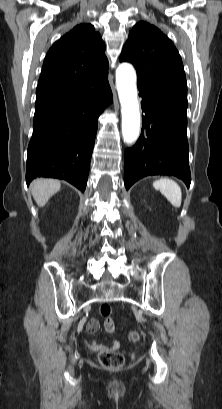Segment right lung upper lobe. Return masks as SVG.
Instances as JSON below:
<instances>
[{
  "label": "right lung upper lobe",
  "instance_id": "cb5924a9",
  "mask_svg": "<svg viewBox=\"0 0 222 409\" xmlns=\"http://www.w3.org/2000/svg\"><path fill=\"white\" fill-rule=\"evenodd\" d=\"M105 45L91 24H80L49 49L36 90L35 106L85 92L89 81L108 74Z\"/></svg>",
  "mask_w": 222,
  "mask_h": 409
}]
</instances>
